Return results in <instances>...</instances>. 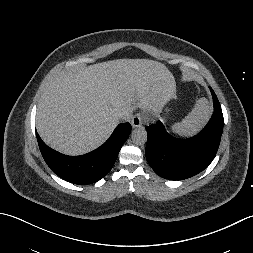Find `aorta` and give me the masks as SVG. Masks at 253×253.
<instances>
[{
  "label": "aorta",
  "mask_w": 253,
  "mask_h": 253,
  "mask_svg": "<svg viewBox=\"0 0 253 253\" xmlns=\"http://www.w3.org/2000/svg\"><path fill=\"white\" fill-rule=\"evenodd\" d=\"M131 139L136 145H144L147 141V132L143 127L136 128L131 133Z\"/></svg>",
  "instance_id": "1"
}]
</instances>
